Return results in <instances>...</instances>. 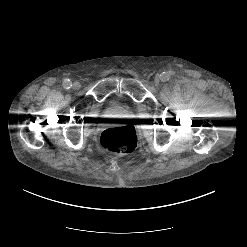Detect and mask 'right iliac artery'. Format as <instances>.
<instances>
[{"label":"right iliac artery","mask_w":247,"mask_h":247,"mask_svg":"<svg viewBox=\"0 0 247 247\" xmlns=\"http://www.w3.org/2000/svg\"><path fill=\"white\" fill-rule=\"evenodd\" d=\"M63 87L65 89H70L72 87V82L69 79L64 80Z\"/></svg>","instance_id":"82829eb1"}]
</instances>
